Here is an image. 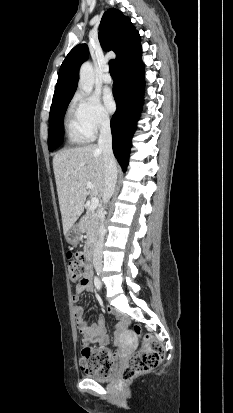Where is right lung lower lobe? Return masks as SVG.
I'll return each mask as SVG.
<instances>
[{"mask_svg": "<svg viewBox=\"0 0 233 413\" xmlns=\"http://www.w3.org/2000/svg\"><path fill=\"white\" fill-rule=\"evenodd\" d=\"M141 46L117 64L118 80L113 84L117 110L111 119L113 152L124 171L127 169L132 136L139 118L144 90Z\"/></svg>", "mask_w": 233, "mask_h": 413, "instance_id": "right-lung-lower-lobe-1", "label": "right lung lower lobe"}]
</instances>
